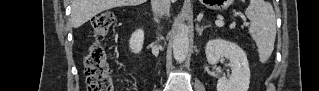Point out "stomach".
Listing matches in <instances>:
<instances>
[{
    "instance_id": "stomach-1",
    "label": "stomach",
    "mask_w": 319,
    "mask_h": 91,
    "mask_svg": "<svg viewBox=\"0 0 319 91\" xmlns=\"http://www.w3.org/2000/svg\"><path fill=\"white\" fill-rule=\"evenodd\" d=\"M205 4H207V6H209L210 8L214 9H222L226 6L225 1H211L210 3H208V1H205Z\"/></svg>"
}]
</instances>
